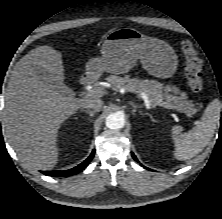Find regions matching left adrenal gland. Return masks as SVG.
I'll return each instance as SVG.
<instances>
[{"instance_id":"obj_1","label":"left adrenal gland","mask_w":222,"mask_h":219,"mask_svg":"<svg viewBox=\"0 0 222 219\" xmlns=\"http://www.w3.org/2000/svg\"><path fill=\"white\" fill-rule=\"evenodd\" d=\"M130 104L132 105L133 109H132V114L135 115V112L137 111V109H140L141 106L140 105H136L133 102H130Z\"/></svg>"}]
</instances>
